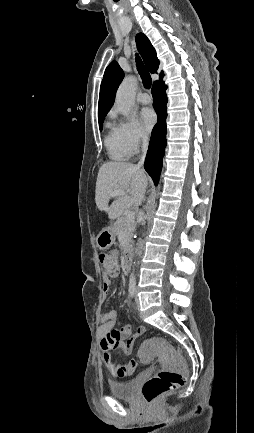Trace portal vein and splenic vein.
<instances>
[{
  "mask_svg": "<svg viewBox=\"0 0 254 433\" xmlns=\"http://www.w3.org/2000/svg\"><path fill=\"white\" fill-rule=\"evenodd\" d=\"M119 195L123 196V195H125V193L122 191H115L111 194V197H116ZM134 218H135V213L131 211L127 214L126 221H132V220H134Z\"/></svg>",
  "mask_w": 254,
  "mask_h": 433,
  "instance_id": "obj_1",
  "label": "portal vein and splenic vein"
}]
</instances>
